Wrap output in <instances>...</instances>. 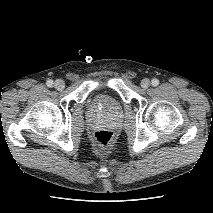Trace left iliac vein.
I'll use <instances>...</instances> for the list:
<instances>
[{"mask_svg":"<svg viewBox=\"0 0 213 213\" xmlns=\"http://www.w3.org/2000/svg\"><path fill=\"white\" fill-rule=\"evenodd\" d=\"M149 85H150L149 79L145 78L141 81V87L143 89H147L149 87Z\"/></svg>","mask_w":213,"mask_h":213,"instance_id":"obj_1","label":"left iliac vein"}]
</instances>
